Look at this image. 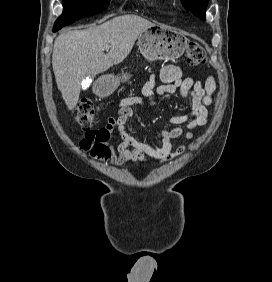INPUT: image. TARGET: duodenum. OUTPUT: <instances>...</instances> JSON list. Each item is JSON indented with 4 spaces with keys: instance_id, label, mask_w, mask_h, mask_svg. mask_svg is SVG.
Instances as JSON below:
<instances>
[{
    "instance_id": "1",
    "label": "duodenum",
    "mask_w": 272,
    "mask_h": 282,
    "mask_svg": "<svg viewBox=\"0 0 272 282\" xmlns=\"http://www.w3.org/2000/svg\"><path fill=\"white\" fill-rule=\"evenodd\" d=\"M97 89L100 91V92H106L107 89H108V83L105 82V83H102L100 85L97 86Z\"/></svg>"
}]
</instances>
